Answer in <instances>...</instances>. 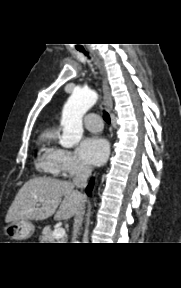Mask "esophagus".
I'll return each instance as SVG.
<instances>
[{
  "instance_id": "obj_1",
  "label": "esophagus",
  "mask_w": 181,
  "mask_h": 288,
  "mask_svg": "<svg viewBox=\"0 0 181 288\" xmlns=\"http://www.w3.org/2000/svg\"><path fill=\"white\" fill-rule=\"evenodd\" d=\"M92 54L94 55V57L96 58L98 64H99V67L101 68V71H102V82H103V95H104V103L106 105V108L108 110V112L110 114H112V108H113V102H112V97H111V93H110V87H109V84H108V80L106 78V75H105V72H104V69L102 67V64L99 60V58L96 56V54L91 51ZM114 123L113 119H112V124Z\"/></svg>"
}]
</instances>
